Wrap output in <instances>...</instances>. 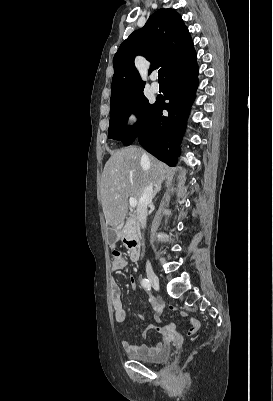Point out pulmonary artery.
Instances as JSON below:
<instances>
[{"label":"pulmonary artery","instance_id":"1","mask_svg":"<svg viewBox=\"0 0 273 401\" xmlns=\"http://www.w3.org/2000/svg\"><path fill=\"white\" fill-rule=\"evenodd\" d=\"M150 86L153 91L157 92L161 87V82L159 80H152Z\"/></svg>","mask_w":273,"mask_h":401}]
</instances>
